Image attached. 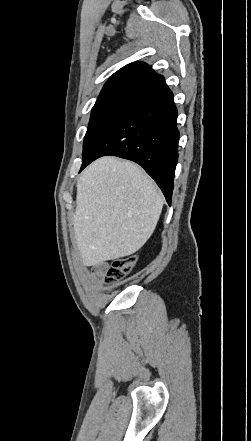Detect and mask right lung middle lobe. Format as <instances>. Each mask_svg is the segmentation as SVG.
<instances>
[{"label":"right lung middle lobe","mask_w":251,"mask_h":441,"mask_svg":"<svg viewBox=\"0 0 251 441\" xmlns=\"http://www.w3.org/2000/svg\"><path fill=\"white\" fill-rule=\"evenodd\" d=\"M134 102L133 100L111 99L95 103L84 137L83 162L103 134Z\"/></svg>","instance_id":"1"}]
</instances>
